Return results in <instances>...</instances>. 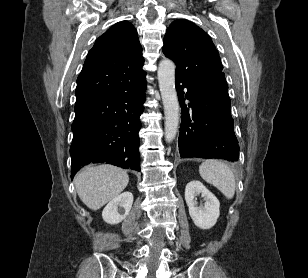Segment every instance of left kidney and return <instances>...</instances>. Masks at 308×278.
<instances>
[{
	"mask_svg": "<svg viewBox=\"0 0 308 278\" xmlns=\"http://www.w3.org/2000/svg\"><path fill=\"white\" fill-rule=\"evenodd\" d=\"M202 195L205 204L198 207L195 198ZM185 200L189 208V214L194 224L200 229L212 228L220 215L219 200L199 181H191L185 188Z\"/></svg>",
	"mask_w": 308,
	"mask_h": 278,
	"instance_id": "left-kidney-1",
	"label": "left kidney"
}]
</instances>
